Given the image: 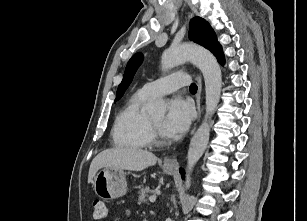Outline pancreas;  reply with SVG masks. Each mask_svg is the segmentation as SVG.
<instances>
[{
  "instance_id": "cf45deb5",
  "label": "pancreas",
  "mask_w": 307,
  "mask_h": 221,
  "mask_svg": "<svg viewBox=\"0 0 307 221\" xmlns=\"http://www.w3.org/2000/svg\"><path fill=\"white\" fill-rule=\"evenodd\" d=\"M153 191L149 188V187H145V188H142L140 191H139V202H145L146 201V197L148 196V194H151Z\"/></svg>"
}]
</instances>
